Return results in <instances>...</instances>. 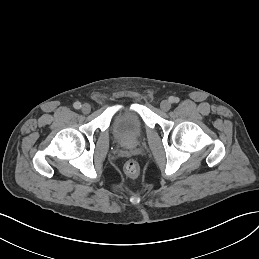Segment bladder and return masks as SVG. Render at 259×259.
I'll use <instances>...</instances> for the list:
<instances>
[{
	"label": "bladder",
	"mask_w": 259,
	"mask_h": 259,
	"mask_svg": "<svg viewBox=\"0 0 259 259\" xmlns=\"http://www.w3.org/2000/svg\"><path fill=\"white\" fill-rule=\"evenodd\" d=\"M143 134V124L138 113L127 107L117 113L113 122V135L121 143H134Z\"/></svg>",
	"instance_id": "bladder-1"
}]
</instances>
